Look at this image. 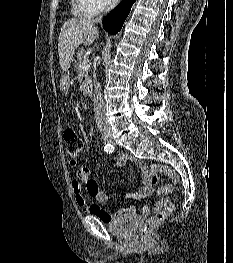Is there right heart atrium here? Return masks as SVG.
Returning a JSON list of instances; mask_svg holds the SVG:
<instances>
[{
	"mask_svg": "<svg viewBox=\"0 0 233 263\" xmlns=\"http://www.w3.org/2000/svg\"><path fill=\"white\" fill-rule=\"evenodd\" d=\"M83 9L89 14H97L115 7L119 0H80Z\"/></svg>",
	"mask_w": 233,
	"mask_h": 263,
	"instance_id": "right-heart-atrium-1",
	"label": "right heart atrium"
}]
</instances>
